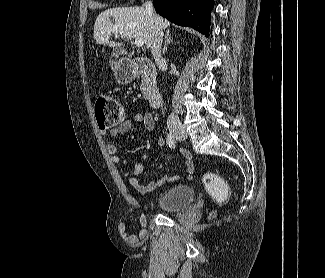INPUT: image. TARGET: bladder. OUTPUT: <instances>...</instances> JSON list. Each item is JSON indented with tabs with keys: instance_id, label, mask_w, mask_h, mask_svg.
Segmentation results:
<instances>
[{
	"instance_id": "obj_1",
	"label": "bladder",
	"mask_w": 325,
	"mask_h": 278,
	"mask_svg": "<svg viewBox=\"0 0 325 278\" xmlns=\"http://www.w3.org/2000/svg\"><path fill=\"white\" fill-rule=\"evenodd\" d=\"M193 188L186 184L173 185L164 190L156 200V207L165 213H173L187 208L194 200Z\"/></svg>"
}]
</instances>
